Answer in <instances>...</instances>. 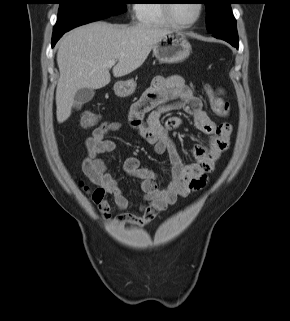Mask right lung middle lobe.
<instances>
[{
	"mask_svg": "<svg viewBox=\"0 0 290 321\" xmlns=\"http://www.w3.org/2000/svg\"><path fill=\"white\" fill-rule=\"evenodd\" d=\"M59 4L53 32L68 31L126 11L125 0H59Z\"/></svg>",
	"mask_w": 290,
	"mask_h": 321,
	"instance_id": "dd1d6c3e",
	"label": "right lung middle lobe"
}]
</instances>
